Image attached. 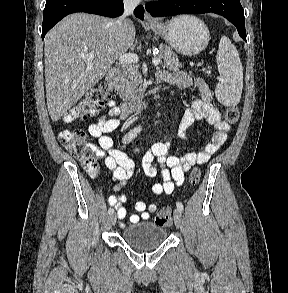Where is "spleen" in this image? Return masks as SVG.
<instances>
[{
	"instance_id": "1",
	"label": "spleen",
	"mask_w": 288,
	"mask_h": 293,
	"mask_svg": "<svg viewBox=\"0 0 288 293\" xmlns=\"http://www.w3.org/2000/svg\"><path fill=\"white\" fill-rule=\"evenodd\" d=\"M220 82L215 89L216 98L225 106L239 103L243 88V68L236 47L223 36L216 56Z\"/></svg>"
}]
</instances>
